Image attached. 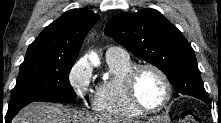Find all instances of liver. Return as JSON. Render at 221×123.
Masks as SVG:
<instances>
[{"label":"liver","instance_id":"1","mask_svg":"<svg viewBox=\"0 0 221 123\" xmlns=\"http://www.w3.org/2000/svg\"><path fill=\"white\" fill-rule=\"evenodd\" d=\"M104 119L59 104L37 102L24 107L12 123H102ZM114 122V121H113Z\"/></svg>","mask_w":221,"mask_h":123}]
</instances>
